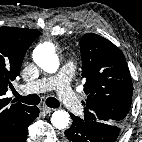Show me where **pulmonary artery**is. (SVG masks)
<instances>
[{
    "label": "pulmonary artery",
    "mask_w": 142,
    "mask_h": 142,
    "mask_svg": "<svg viewBox=\"0 0 142 142\" xmlns=\"http://www.w3.org/2000/svg\"><path fill=\"white\" fill-rule=\"evenodd\" d=\"M73 72L74 64L67 62L57 75L24 84L21 86V90L27 93L56 90L68 111L73 114H80L83 108L82 103L70 86Z\"/></svg>",
    "instance_id": "obj_1"
}]
</instances>
